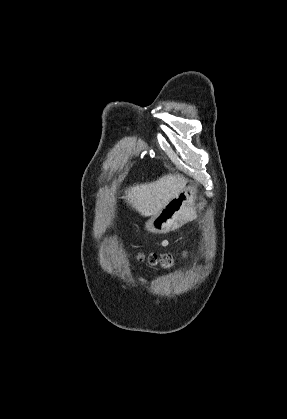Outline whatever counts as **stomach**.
Instances as JSON below:
<instances>
[{
	"mask_svg": "<svg viewBox=\"0 0 287 419\" xmlns=\"http://www.w3.org/2000/svg\"><path fill=\"white\" fill-rule=\"evenodd\" d=\"M197 198L195 187H185L146 223V229L153 233H166L177 228L195 215L193 206Z\"/></svg>",
	"mask_w": 287,
	"mask_h": 419,
	"instance_id": "0dacf381",
	"label": "stomach"
}]
</instances>
